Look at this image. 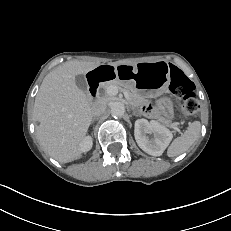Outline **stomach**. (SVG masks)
<instances>
[{
	"label": "stomach",
	"instance_id": "obj_1",
	"mask_svg": "<svg viewBox=\"0 0 231 231\" xmlns=\"http://www.w3.org/2000/svg\"><path fill=\"white\" fill-rule=\"evenodd\" d=\"M129 68L130 81L137 87L142 96L159 97L167 93L170 85V67L167 62H139L137 64H123L115 67ZM157 107L164 122H170L174 117L173 103L170 98L163 97L157 101Z\"/></svg>",
	"mask_w": 231,
	"mask_h": 231
}]
</instances>
